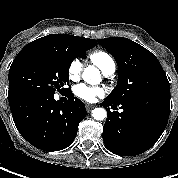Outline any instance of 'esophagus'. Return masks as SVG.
Segmentation results:
<instances>
[{
  "label": "esophagus",
  "mask_w": 178,
  "mask_h": 178,
  "mask_svg": "<svg viewBox=\"0 0 178 178\" xmlns=\"http://www.w3.org/2000/svg\"><path fill=\"white\" fill-rule=\"evenodd\" d=\"M87 112H90L95 106L92 104H86L85 105Z\"/></svg>",
  "instance_id": "obj_1"
}]
</instances>
